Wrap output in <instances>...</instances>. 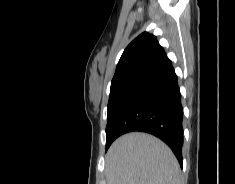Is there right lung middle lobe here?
Returning <instances> with one entry per match:
<instances>
[{
  "label": "right lung middle lobe",
  "mask_w": 235,
  "mask_h": 184,
  "mask_svg": "<svg viewBox=\"0 0 235 184\" xmlns=\"http://www.w3.org/2000/svg\"><path fill=\"white\" fill-rule=\"evenodd\" d=\"M133 83H130L121 88L110 91L109 102H108V115H107V127H106V150L109 148L111 143L115 140L114 134L110 130V123L113 119V116L123 99L124 95L128 89L132 86Z\"/></svg>",
  "instance_id": "right-lung-middle-lobe-1"
}]
</instances>
